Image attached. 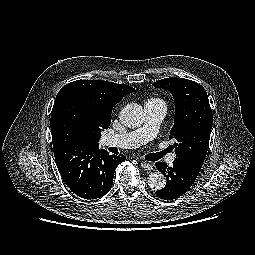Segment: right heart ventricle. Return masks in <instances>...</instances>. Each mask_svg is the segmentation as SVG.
I'll use <instances>...</instances> for the list:
<instances>
[{
  "label": "right heart ventricle",
  "mask_w": 255,
  "mask_h": 255,
  "mask_svg": "<svg viewBox=\"0 0 255 255\" xmlns=\"http://www.w3.org/2000/svg\"><path fill=\"white\" fill-rule=\"evenodd\" d=\"M148 102H152V103H163L164 102L160 99V98H152L150 99Z\"/></svg>",
  "instance_id": "1"
}]
</instances>
